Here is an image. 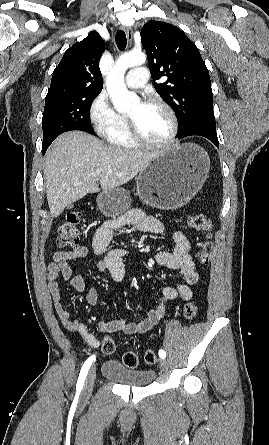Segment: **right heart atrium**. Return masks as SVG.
<instances>
[{"mask_svg":"<svg viewBox=\"0 0 269 445\" xmlns=\"http://www.w3.org/2000/svg\"><path fill=\"white\" fill-rule=\"evenodd\" d=\"M89 117L99 133H104L115 122L117 113L106 92L102 91L93 99L89 107Z\"/></svg>","mask_w":269,"mask_h":445,"instance_id":"right-heart-atrium-1","label":"right heart atrium"}]
</instances>
